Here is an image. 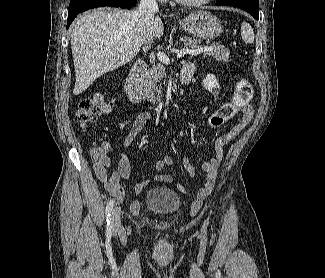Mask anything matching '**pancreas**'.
Masks as SVG:
<instances>
[{"instance_id":"pancreas-1","label":"pancreas","mask_w":325,"mask_h":278,"mask_svg":"<svg viewBox=\"0 0 325 278\" xmlns=\"http://www.w3.org/2000/svg\"><path fill=\"white\" fill-rule=\"evenodd\" d=\"M186 48H198L199 40L184 37L182 40ZM204 55L212 56L217 61L227 63L229 61L230 51L223 45H217L211 51L204 52ZM166 77V70L162 63L153 65L147 72L143 80V94L144 98L152 103L160 102V94L162 93V86L160 82Z\"/></svg>"}]
</instances>
